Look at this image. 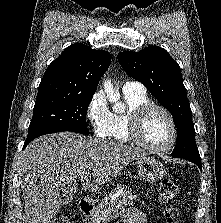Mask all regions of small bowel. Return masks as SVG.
I'll return each mask as SVG.
<instances>
[{
  "label": "small bowel",
  "instance_id": "c3829d8e",
  "mask_svg": "<svg viewBox=\"0 0 221 223\" xmlns=\"http://www.w3.org/2000/svg\"><path fill=\"white\" fill-rule=\"evenodd\" d=\"M122 218L126 223H149L148 217L141 211L130 208L122 213ZM158 223V222H154Z\"/></svg>",
  "mask_w": 221,
  "mask_h": 223
}]
</instances>
